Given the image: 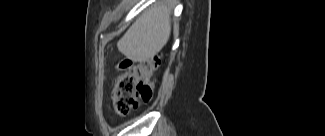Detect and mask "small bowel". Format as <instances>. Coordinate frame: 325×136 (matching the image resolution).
Listing matches in <instances>:
<instances>
[{"instance_id": "1", "label": "small bowel", "mask_w": 325, "mask_h": 136, "mask_svg": "<svg viewBox=\"0 0 325 136\" xmlns=\"http://www.w3.org/2000/svg\"><path fill=\"white\" fill-rule=\"evenodd\" d=\"M124 62H120L119 63V66H117V70H114V73H118V74H116V76L115 75H112V78H115L116 77V79H121V74H119V73H124V71H130V66H128L127 64H126V62L127 63H130L132 60L130 59V58H125L124 60H123ZM110 85L113 83L111 80L108 82Z\"/></svg>"}]
</instances>
